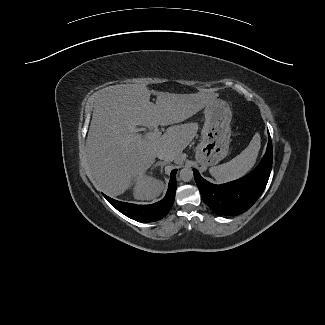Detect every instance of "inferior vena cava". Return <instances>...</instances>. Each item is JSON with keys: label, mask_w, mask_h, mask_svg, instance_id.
Returning a JSON list of instances; mask_svg holds the SVG:
<instances>
[{"label": "inferior vena cava", "mask_w": 325, "mask_h": 325, "mask_svg": "<svg viewBox=\"0 0 325 325\" xmlns=\"http://www.w3.org/2000/svg\"><path fill=\"white\" fill-rule=\"evenodd\" d=\"M157 157L161 160H164L166 162H171L174 160L175 156L174 154L166 149H161L157 152Z\"/></svg>", "instance_id": "1"}]
</instances>
